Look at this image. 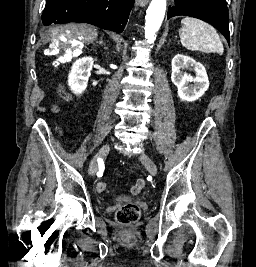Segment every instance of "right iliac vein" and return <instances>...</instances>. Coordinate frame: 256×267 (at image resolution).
I'll return each instance as SVG.
<instances>
[{"label":"right iliac vein","mask_w":256,"mask_h":267,"mask_svg":"<svg viewBox=\"0 0 256 267\" xmlns=\"http://www.w3.org/2000/svg\"><path fill=\"white\" fill-rule=\"evenodd\" d=\"M110 145L105 144L101 147L98 154L94 157L91 166H90V175L95 176L96 172L98 171L99 162L104 158V156L109 152Z\"/></svg>","instance_id":"right-iliac-vein-1"}]
</instances>
